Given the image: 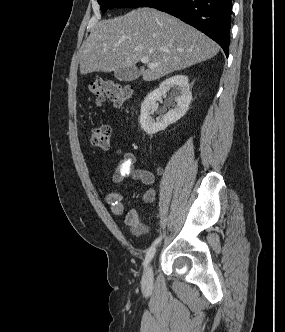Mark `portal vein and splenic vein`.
I'll return each instance as SVG.
<instances>
[{
  "label": "portal vein and splenic vein",
  "instance_id": "18ae733b",
  "mask_svg": "<svg viewBox=\"0 0 285 332\" xmlns=\"http://www.w3.org/2000/svg\"><path fill=\"white\" fill-rule=\"evenodd\" d=\"M141 62L144 63V64H147L149 62L148 57H142ZM148 66H149V68H155V67L158 66V64L149 63Z\"/></svg>",
  "mask_w": 285,
  "mask_h": 332
}]
</instances>
